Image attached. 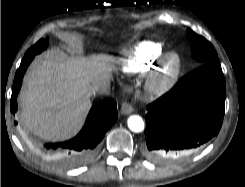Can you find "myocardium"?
I'll return each instance as SVG.
<instances>
[{
    "label": "myocardium",
    "instance_id": "1",
    "mask_svg": "<svg viewBox=\"0 0 245 187\" xmlns=\"http://www.w3.org/2000/svg\"><path fill=\"white\" fill-rule=\"evenodd\" d=\"M181 68V57L176 51L163 54L147 80L148 92L152 96H162L169 92L176 84Z\"/></svg>",
    "mask_w": 245,
    "mask_h": 187
}]
</instances>
